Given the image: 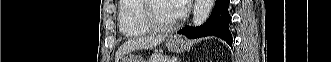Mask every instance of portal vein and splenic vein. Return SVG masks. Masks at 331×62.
Wrapping results in <instances>:
<instances>
[{
  "label": "portal vein and splenic vein",
  "instance_id": "1",
  "mask_svg": "<svg viewBox=\"0 0 331 62\" xmlns=\"http://www.w3.org/2000/svg\"><path fill=\"white\" fill-rule=\"evenodd\" d=\"M173 60H177V58H173ZM172 62H174V61H172Z\"/></svg>",
  "mask_w": 331,
  "mask_h": 62
}]
</instances>
